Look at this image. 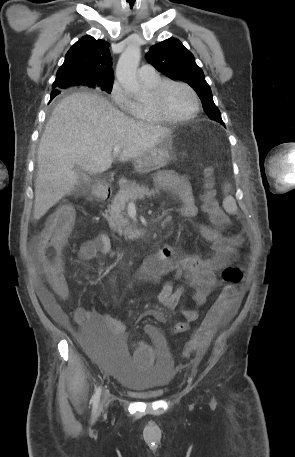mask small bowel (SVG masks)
Masks as SVG:
<instances>
[{
    "label": "small bowel",
    "instance_id": "1",
    "mask_svg": "<svg viewBox=\"0 0 295 457\" xmlns=\"http://www.w3.org/2000/svg\"><path fill=\"white\" fill-rule=\"evenodd\" d=\"M157 185L180 199V214L183 217L196 216L197 206L190 182L186 176L166 172L159 177ZM200 233L211 243L212 253L208 257L181 254L170 244H165L156 254L146 258L143 263L139 275L140 280L157 283L164 276L173 275L174 280L165 283L158 295L160 303L169 309L177 307L186 287L193 289L194 303L197 306L204 305L208 296L217 286L216 273L229 266L237 255V248L242 243L240 235L225 236L215 227L202 225ZM98 252L104 255L112 254L111 241L106 233H101L96 238L85 241L80 248L79 256L83 260H90ZM38 293L46 310L56 319L65 322L66 317L51 293L44 286L39 287ZM182 314L185 320L174 324L172 330L175 333L188 331L190 324L199 318L197 309H184ZM144 315L153 316L159 322L166 321V315L160 310H149ZM75 318L89 338H98L97 335L102 332L115 335H121L125 332V325L108 314L79 309ZM145 331L155 342V346L165 345L156 326L146 325ZM203 352L204 349L197 351L196 357L200 358Z\"/></svg>",
    "mask_w": 295,
    "mask_h": 457
}]
</instances>
